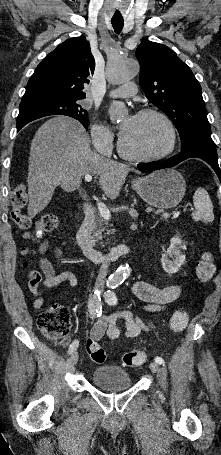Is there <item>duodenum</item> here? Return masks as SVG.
Returning <instances> with one entry per match:
<instances>
[{"mask_svg": "<svg viewBox=\"0 0 221 455\" xmlns=\"http://www.w3.org/2000/svg\"><path fill=\"white\" fill-rule=\"evenodd\" d=\"M84 221L77 232V243L84 254L91 260L103 263H110L129 252V247L125 244H119L108 252L97 249L92 243L89 232L95 220V207L91 204L84 205Z\"/></svg>", "mask_w": 221, "mask_h": 455, "instance_id": "1", "label": "duodenum"}]
</instances>
